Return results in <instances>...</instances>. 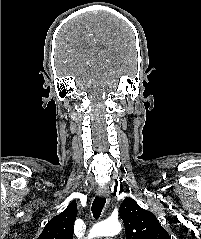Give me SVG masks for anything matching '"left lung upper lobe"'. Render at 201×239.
<instances>
[{
  "label": "left lung upper lobe",
  "mask_w": 201,
  "mask_h": 239,
  "mask_svg": "<svg viewBox=\"0 0 201 239\" xmlns=\"http://www.w3.org/2000/svg\"><path fill=\"white\" fill-rule=\"evenodd\" d=\"M119 211L127 239H171L156 216L142 209L134 199L125 198Z\"/></svg>",
  "instance_id": "5c2ea615"
}]
</instances>
